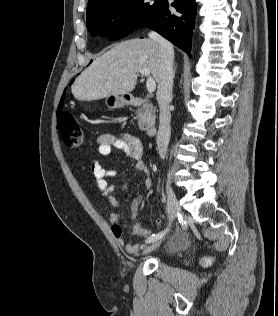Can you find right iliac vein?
<instances>
[{
    "instance_id": "right-iliac-vein-1",
    "label": "right iliac vein",
    "mask_w": 278,
    "mask_h": 316,
    "mask_svg": "<svg viewBox=\"0 0 278 316\" xmlns=\"http://www.w3.org/2000/svg\"><path fill=\"white\" fill-rule=\"evenodd\" d=\"M166 191H167L168 214H169L170 222H172L176 218V215L180 212V205L177 201V198L173 189L170 187L169 184H167L166 186ZM162 240H164V238L158 239L154 241L151 245L147 246L144 250V253H148L154 250L155 248H157L158 246H160V244L162 243Z\"/></svg>"
}]
</instances>
